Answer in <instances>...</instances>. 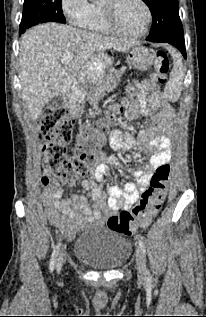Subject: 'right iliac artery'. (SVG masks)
I'll return each mask as SVG.
<instances>
[{"label":"right iliac artery","instance_id":"right-iliac-artery-1","mask_svg":"<svg viewBox=\"0 0 206 317\" xmlns=\"http://www.w3.org/2000/svg\"><path fill=\"white\" fill-rule=\"evenodd\" d=\"M60 245H61L60 243H58L56 245V247L53 250L52 256H51L50 265H49V269H50L51 272L54 269L55 262H56V259H57V256H58V252H59V249H60Z\"/></svg>","mask_w":206,"mask_h":317}]
</instances>
